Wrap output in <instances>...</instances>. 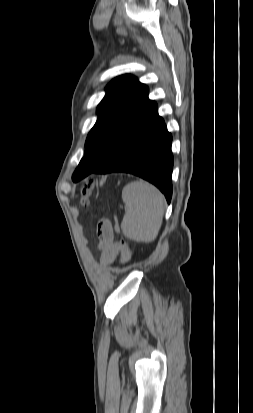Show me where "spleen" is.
I'll return each mask as SVG.
<instances>
[{
  "instance_id": "1",
  "label": "spleen",
  "mask_w": 253,
  "mask_h": 413,
  "mask_svg": "<svg viewBox=\"0 0 253 413\" xmlns=\"http://www.w3.org/2000/svg\"><path fill=\"white\" fill-rule=\"evenodd\" d=\"M122 199L125 203L121 223L123 234L137 242L154 241L163 221V194L148 182L135 181L123 188Z\"/></svg>"
}]
</instances>
